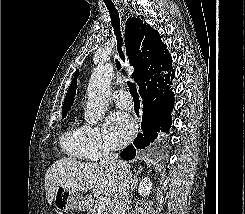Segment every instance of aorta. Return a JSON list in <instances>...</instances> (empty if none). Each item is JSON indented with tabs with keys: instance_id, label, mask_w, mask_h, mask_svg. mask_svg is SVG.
I'll use <instances>...</instances> for the list:
<instances>
[{
	"instance_id": "762f6f07",
	"label": "aorta",
	"mask_w": 245,
	"mask_h": 214,
	"mask_svg": "<svg viewBox=\"0 0 245 214\" xmlns=\"http://www.w3.org/2000/svg\"><path fill=\"white\" fill-rule=\"evenodd\" d=\"M114 67L111 63L98 65L93 71L87 87L85 121L94 125L105 115L109 106V88Z\"/></svg>"
}]
</instances>
